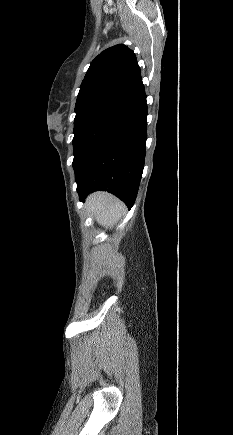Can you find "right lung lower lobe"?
<instances>
[{
	"mask_svg": "<svg viewBox=\"0 0 233 435\" xmlns=\"http://www.w3.org/2000/svg\"><path fill=\"white\" fill-rule=\"evenodd\" d=\"M146 97L93 146L75 168L80 200L91 192L108 191L131 208L135 202L145 159Z\"/></svg>",
	"mask_w": 233,
	"mask_h": 435,
	"instance_id": "obj_1",
	"label": "right lung lower lobe"
}]
</instances>
